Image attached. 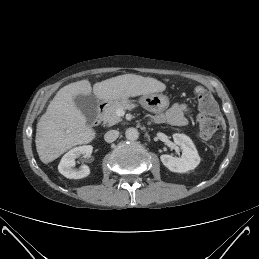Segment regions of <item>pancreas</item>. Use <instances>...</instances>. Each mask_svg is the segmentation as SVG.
Listing matches in <instances>:
<instances>
[{"mask_svg": "<svg viewBox=\"0 0 259 259\" xmlns=\"http://www.w3.org/2000/svg\"><path fill=\"white\" fill-rule=\"evenodd\" d=\"M135 107L136 105L133 103L113 104L102 113V120L104 124L113 126L122 120V118L117 115V110H131Z\"/></svg>", "mask_w": 259, "mask_h": 259, "instance_id": "pancreas-1", "label": "pancreas"}]
</instances>
